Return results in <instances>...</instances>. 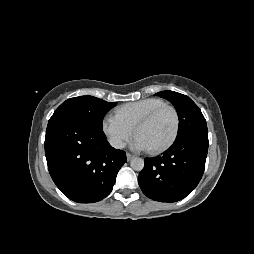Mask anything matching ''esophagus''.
Returning <instances> with one entry per match:
<instances>
[{"label": "esophagus", "mask_w": 254, "mask_h": 254, "mask_svg": "<svg viewBox=\"0 0 254 254\" xmlns=\"http://www.w3.org/2000/svg\"><path fill=\"white\" fill-rule=\"evenodd\" d=\"M126 157H127V160L130 161L134 157V155L127 153Z\"/></svg>", "instance_id": "obj_1"}]
</instances>
